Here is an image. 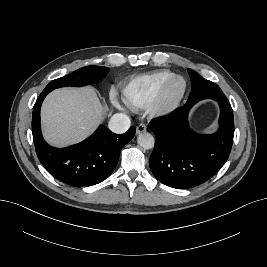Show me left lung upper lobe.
I'll use <instances>...</instances> for the list:
<instances>
[{
    "instance_id": "obj_1",
    "label": "left lung upper lobe",
    "mask_w": 267,
    "mask_h": 267,
    "mask_svg": "<svg viewBox=\"0 0 267 267\" xmlns=\"http://www.w3.org/2000/svg\"><path fill=\"white\" fill-rule=\"evenodd\" d=\"M188 73L192 82V89L189 97L194 96L196 93L208 91L209 89H213L215 94L217 95L220 96L224 95L217 84L202 78L198 73H196L192 69H188Z\"/></svg>"
}]
</instances>
